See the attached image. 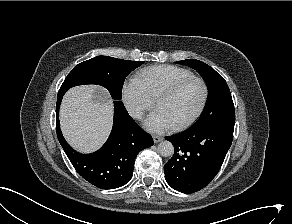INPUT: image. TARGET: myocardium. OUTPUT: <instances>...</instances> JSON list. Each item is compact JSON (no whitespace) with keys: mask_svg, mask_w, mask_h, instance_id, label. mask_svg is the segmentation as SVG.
I'll list each match as a JSON object with an SVG mask.
<instances>
[{"mask_svg":"<svg viewBox=\"0 0 292 224\" xmlns=\"http://www.w3.org/2000/svg\"><path fill=\"white\" fill-rule=\"evenodd\" d=\"M191 82H198L202 86V90H203L202 100H201V103H200L198 109L196 110V112L188 120H186L185 122H183L179 125L174 126L175 131H182V130L189 128L203 114V112L207 106L208 99H209L208 84L206 83V81L203 78L196 76V75H192V76L183 78V79L173 83L172 85L166 87L155 98L154 103H155V106L157 107V104L160 100L174 96L181 89H183L186 85H188Z\"/></svg>","mask_w":292,"mask_h":224,"instance_id":"obj_1","label":"myocardium"}]
</instances>
